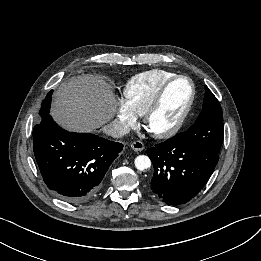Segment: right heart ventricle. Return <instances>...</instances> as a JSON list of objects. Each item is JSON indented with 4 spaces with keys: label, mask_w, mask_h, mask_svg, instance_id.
Returning a JSON list of instances; mask_svg holds the SVG:
<instances>
[{
    "label": "right heart ventricle",
    "mask_w": 261,
    "mask_h": 261,
    "mask_svg": "<svg viewBox=\"0 0 261 261\" xmlns=\"http://www.w3.org/2000/svg\"><path fill=\"white\" fill-rule=\"evenodd\" d=\"M175 73L160 69L146 71L130 78L124 86L123 96L136 115L142 116L159 89Z\"/></svg>",
    "instance_id": "1"
}]
</instances>
